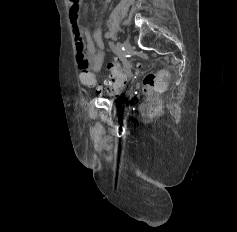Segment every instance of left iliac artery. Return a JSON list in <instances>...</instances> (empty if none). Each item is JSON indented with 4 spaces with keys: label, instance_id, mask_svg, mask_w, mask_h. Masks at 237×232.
I'll return each instance as SVG.
<instances>
[{
    "label": "left iliac artery",
    "instance_id": "1",
    "mask_svg": "<svg viewBox=\"0 0 237 232\" xmlns=\"http://www.w3.org/2000/svg\"><path fill=\"white\" fill-rule=\"evenodd\" d=\"M105 37H106V38H110V37H112V33L107 32V33L105 34Z\"/></svg>",
    "mask_w": 237,
    "mask_h": 232
}]
</instances>
